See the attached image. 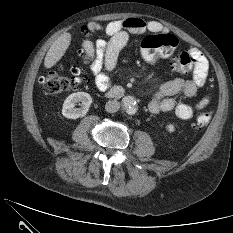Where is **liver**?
<instances>
[{"mask_svg":"<svg viewBox=\"0 0 233 233\" xmlns=\"http://www.w3.org/2000/svg\"><path fill=\"white\" fill-rule=\"evenodd\" d=\"M70 43H71L70 33H64L57 40H55L45 56L44 59L45 68L50 69L54 65H56V63L60 61V59L65 54Z\"/></svg>","mask_w":233,"mask_h":233,"instance_id":"obj_1","label":"liver"}]
</instances>
